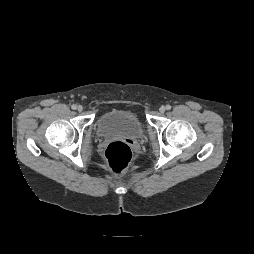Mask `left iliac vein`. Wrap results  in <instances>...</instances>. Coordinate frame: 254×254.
<instances>
[{
    "instance_id": "4c4485c4",
    "label": "left iliac vein",
    "mask_w": 254,
    "mask_h": 254,
    "mask_svg": "<svg viewBox=\"0 0 254 254\" xmlns=\"http://www.w3.org/2000/svg\"><path fill=\"white\" fill-rule=\"evenodd\" d=\"M165 110H166V108H165L164 106H161V107L159 108V112H160V113H164Z\"/></svg>"
}]
</instances>
